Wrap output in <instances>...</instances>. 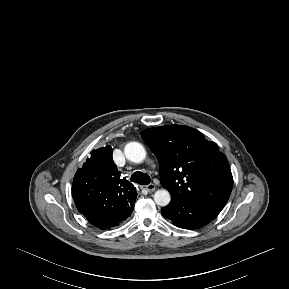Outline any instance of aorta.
Returning a JSON list of instances; mask_svg holds the SVG:
<instances>
[{"label":"aorta","instance_id":"1","mask_svg":"<svg viewBox=\"0 0 289 289\" xmlns=\"http://www.w3.org/2000/svg\"><path fill=\"white\" fill-rule=\"evenodd\" d=\"M125 154L128 160L134 163H141L146 157L145 148L138 142H130L125 146ZM171 196L166 189L157 190L154 193V201L159 206H167Z\"/></svg>","mask_w":289,"mask_h":289}]
</instances>
